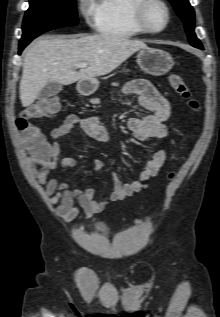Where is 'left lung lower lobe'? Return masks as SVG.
<instances>
[{
  "label": "left lung lower lobe",
  "instance_id": "0a47b994",
  "mask_svg": "<svg viewBox=\"0 0 220 317\" xmlns=\"http://www.w3.org/2000/svg\"><path fill=\"white\" fill-rule=\"evenodd\" d=\"M196 48L203 49L202 47H196Z\"/></svg>",
  "mask_w": 220,
  "mask_h": 317
}]
</instances>
